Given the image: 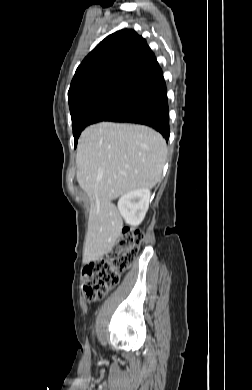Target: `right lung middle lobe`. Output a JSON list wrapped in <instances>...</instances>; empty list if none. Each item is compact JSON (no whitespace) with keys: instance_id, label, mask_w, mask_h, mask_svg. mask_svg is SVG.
<instances>
[{"instance_id":"dd1d6c3e","label":"right lung middle lobe","mask_w":252,"mask_h":390,"mask_svg":"<svg viewBox=\"0 0 252 390\" xmlns=\"http://www.w3.org/2000/svg\"><path fill=\"white\" fill-rule=\"evenodd\" d=\"M134 100V98L129 97H102L88 101L71 111L75 146L85 127L105 121L110 116L128 107Z\"/></svg>"}]
</instances>
